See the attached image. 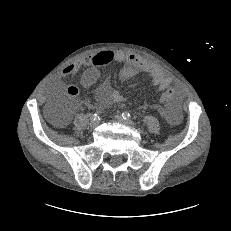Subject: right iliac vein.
Returning <instances> with one entry per match:
<instances>
[{
	"instance_id": "63e3f726",
	"label": "right iliac vein",
	"mask_w": 231,
	"mask_h": 231,
	"mask_svg": "<svg viewBox=\"0 0 231 231\" xmlns=\"http://www.w3.org/2000/svg\"><path fill=\"white\" fill-rule=\"evenodd\" d=\"M90 128L94 129L98 126V121L97 120H92L89 124Z\"/></svg>"
}]
</instances>
